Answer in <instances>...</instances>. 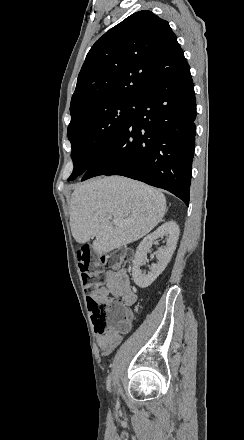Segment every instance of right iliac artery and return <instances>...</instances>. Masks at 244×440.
Wrapping results in <instances>:
<instances>
[{"label":"right iliac artery","instance_id":"obj_1","mask_svg":"<svg viewBox=\"0 0 244 440\" xmlns=\"http://www.w3.org/2000/svg\"><path fill=\"white\" fill-rule=\"evenodd\" d=\"M107 389H108V391H110V389H111V377H110V375L108 376V379H107Z\"/></svg>","mask_w":244,"mask_h":440}]
</instances>
